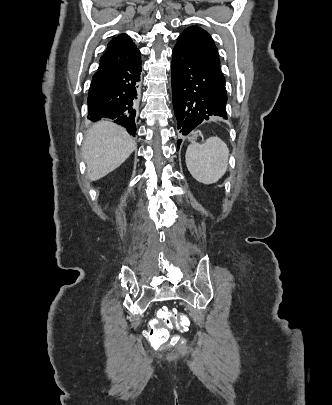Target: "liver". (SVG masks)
Returning a JSON list of instances; mask_svg holds the SVG:
<instances>
[{"instance_id": "liver-1", "label": "liver", "mask_w": 332, "mask_h": 405, "mask_svg": "<svg viewBox=\"0 0 332 405\" xmlns=\"http://www.w3.org/2000/svg\"><path fill=\"white\" fill-rule=\"evenodd\" d=\"M136 149V143L125 128L101 120L86 134L83 158L91 181L99 180L118 168Z\"/></svg>"}]
</instances>
